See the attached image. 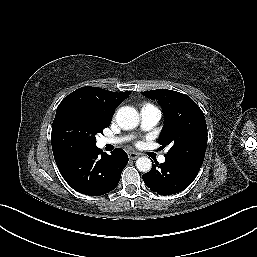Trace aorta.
<instances>
[{
  "label": "aorta",
  "instance_id": "obj_1",
  "mask_svg": "<svg viewBox=\"0 0 257 257\" xmlns=\"http://www.w3.org/2000/svg\"><path fill=\"white\" fill-rule=\"evenodd\" d=\"M116 121L122 129L130 130L139 124V114L133 107L124 106L117 111ZM136 167L139 171L147 173L151 170L152 162L147 157H140L136 160Z\"/></svg>",
  "mask_w": 257,
  "mask_h": 257
}]
</instances>
